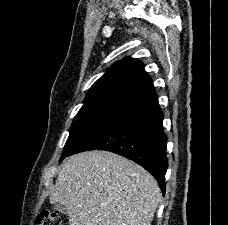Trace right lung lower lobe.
Instances as JSON below:
<instances>
[{"label":"right lung lower lobe","instance_id":"right-lung-lower-lobe-1","mask_svg":"<svg viewBox=\"0 0 228 225\" xmlns=\"http://www.w3.org/2000/svg\"><path fill=\"white\" fill-rule=\"evenodd\" d=\"M162 123L163 113L151 84L87 133L67 156L95 149L124 156L149 171L164 195L168 160Z\"/></svg>","mask_w":228,"mask_h":225}]
</instances>
